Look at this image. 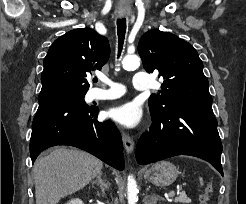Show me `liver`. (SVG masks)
Instances as JSON below:
<instances>
[{
  "label": "liver",
  "mask_w": 246,
  "mask_h": 204,
  "mask_svg": "<svg viewBox=\"0 0 246 204\" xmlns=\"http://www.w3.org/2000/svg\"><path fill=\"white\" fill-rule=\"evenodd\" d=\"M103 162L78 149L54 148L33 167L36 204H58L84 188L101 172Z\"/></svg>",
  "instance_id": "obj_1"
}]
</instances>
